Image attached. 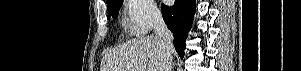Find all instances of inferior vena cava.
Listing matches in <instances>:
<instances>
[{"instance_id": "1", "label": "inferior vena cava", "mask_w": 301, "mask_h": 71, "mask_svg": "<svg viewBox=\"0 0 301 71\" xmlns=\"http://www.w3.org/2000/svg\"><path fill=\"white\" fill-rule=\"evenodd\" d=\"M154 31L156 37L160 39L161 49L163 52V63L161 71L172 70V54L173 48V34L165 24L161 14H157L154 18Z\"/></svg>"}]
</instances>
